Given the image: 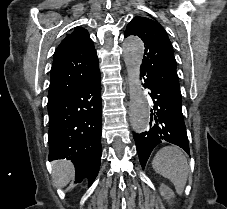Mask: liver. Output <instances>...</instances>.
<instances>
[{"instance_id": "liver-1", "label": "liver", "mask_w": 227, "mask_h": 209, "mask_svg": "<svg viewBox=\"0 0 227 209\" xmlns=\"http://www.w3.org/2000/svg\"><path fill=\"white\" fill-rule=\"evenodd\" d=\"M52 167L55 187H66L75 173L72 163L70 161H53Z\"/></svg>"}]
</instances>
